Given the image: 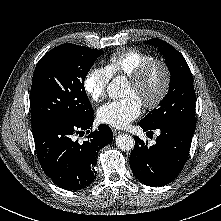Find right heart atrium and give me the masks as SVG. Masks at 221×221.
I'll return each instance as SVG.
<instances>
[{
  "instance_id": "right-heart-atrium-1",
  "label": "right heart atrium",
  "mask_w": 221,
  "mask_h": 221,
  "mask_svg": "<svg viewBox=\"0 0 221 221\" xmlns=\"http://www.w3.org/2000/svg\"><path fill=\"white\" fill-rule=\"evenodd\" d=\"M111 74L107 67L93 66L87 72L83 88L88 97L94 102H100L105 98L107 85Z\"/></svg>"
}]
</instances>
